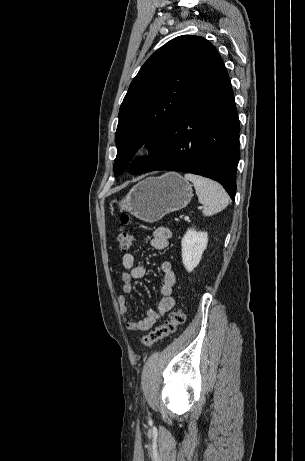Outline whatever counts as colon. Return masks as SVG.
Returning <instances> with one entry per match:
<instances>
[{"instance_id": "5ec220e1", "label": "colon", "mask_w": 305, "mask_h": 461, "mask_svg": "<svg viewBox=\"0 0 305 461\" xmlns=\"http://www.w3.org/2000/svg\"><path fill=\"white\" fill-rule=\"evenodd\" d=\"M122 228L117 233V241L121 250H127L133 244V235L130 231L125 229L130 222L128 214H123L120 218ZM185 321V316L180 307L175 308L169 315V318L159 327L145 335L141 339V345L148 347L153 345L159 340H162L175 332L178 326L182 325Z\"/></svg>"}]
</instances>
